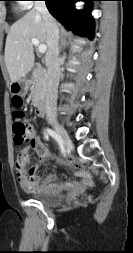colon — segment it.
Instances as JSON below:
<instances>
[{"mask_svg":"<svg viewBox=\"0 0 133 253\" xmlns=\"http://www.w3.org/2000/svg\"><path fill=\"white\" fill-rule=\"evenodd\" d=\"M21 99L16 97L13 100V133L15 144H21L32 139L34 130L25 120L24 112L21 110ZM25 158H21L19 165L23 166Z\"/></svg>","mask_w":133,"mask_h":253,"instance_id":"colon-1","label":"colon"}]
</instances>
